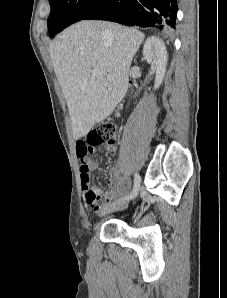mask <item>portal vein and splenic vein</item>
Segmentation results:
<instances>
[{"mask_svg":"<svg viewBox=\"0 0 227 298\" xmlns=\"http://www.w3.org/2000/svg\"><path fill=\"white\" fill-rule=\"evenodd\" d=\"M100 74H101L100 70H98V69L92 70V75L93 76H99ZM107 78L112 79V76L108 75Z\"/></svg>","mask_w":227,"mask_h":298,"instance_id":"1","label":"portal vein and splenic vein"}]
</instances>
